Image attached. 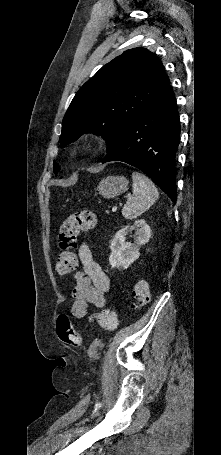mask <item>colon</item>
Returning a JSON list of instances; mask_svg holds the SVG:
<instances>
[{"label": "colon", "mask_w": 221, "mask_h": 455, "mask_svg": "<svg viewBox=\"0 0 221 455\" xmlns=\"http://www.w3.org/2000/svg\"><path fill=\"white\" fill-rule=\"evenodd\" d=\"M96 225V216L91 211H79L64 220L60 228L61 253L56 260V270L62 275L70 274L77 267V242L81 232L92 230ZM150 301V291L145 281H139L132 289L131 309L137 310ZM106 330L118 326V317L112 310H103L92 316ZM57 334L62 342L68 345H79L81 337L73 329L70 318L59 315L56 322Z\"/></svg>", "instance_id": "obj_1"}]
</instances>
